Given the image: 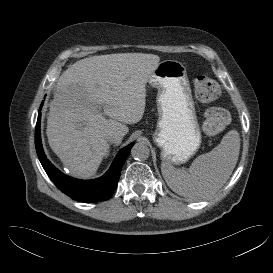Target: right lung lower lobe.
Returning a JSON list of instances; mask_svg holds the SVG:
<instances>
[{
  "instance_id": "1",
  "label": "right lung lower lobe",
  "mask_w": 273,
  "mask_h": 273,
  "mask_svg": "<svg viewBox=\"0 0 273 273\" xmlns=\"http://www.w3.org/2000/svg\"><path fill=\"white\" fill-rule=\"evenodd\" d=\"M41 108L38 112V119L35 130V146L39 160L54 184L73 200L94 203L105 201L113 194L121 173V167L127 159L134 143L123 148L116 156L110 169L105 175L94 180H78L69 177L59 171L46 157L40 135Z\"/></svg>"
}]
</instances>
